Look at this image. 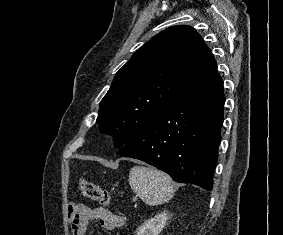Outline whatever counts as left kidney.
<instances>
[{
	"mask_svg": "<svg viewBox=\"0 0 283 235\" xmlns=\"http://www.w3.org/2000/svg\"><path fill=\"white\" fill-rule=\"evenodd\" d=\"M167 220L168 215L165 212L160 213L145 221L136 231V235H159Z\"/></svg>",
	"mask_w": 283,
	"mask_h": 235,
	"instance_id": "1",
	"label": "left kidney"
}]
</instances>
